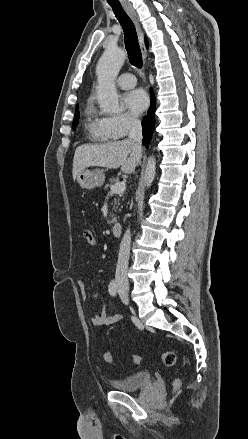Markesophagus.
<instances>
[{"label":"esophagus","instance_id":"34e87169","mask_svg":"<svg viewBox=\"0 0 248 439\" xmlns=\"http://www.w3.org/2000/svg\"><path fill=\"white\" fill-rule=\"evenodd\" d=\"M124 7H125L126 11L128 12V14L130 15V17L132 18V20H133V22H134V24L136 26V29H137V32H138L139 44H140V48H141L142 55H143V61H144V64H145L146 63L147 53H146L144 37H143V33H142V30H141L140 24L138 22V19L136 18L135 13L131 9V7H129L128 5H125Z\"/></svg>","mask_w":248,"mask_h":439}]
</instances>
